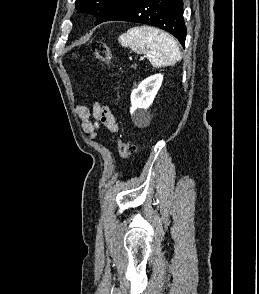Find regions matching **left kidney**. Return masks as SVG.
<instances>
[{
  "label": "left kidney",
  "mask_w": 259,
  "mask_h": 294,
  "mask_svg": "<svg viewBox=\"0 0 259 294\" xmlns=\"http://www.w3.org/2000/svg\"><path fill=\"white\" fill-rule=\"evenodd\" d=\"M162 74H155L143 80L131 93L130 113L135 120L144 110H147L161 87Z\"/></svg>",
  "instance_id": "5707ae66"
}]
</instances>
